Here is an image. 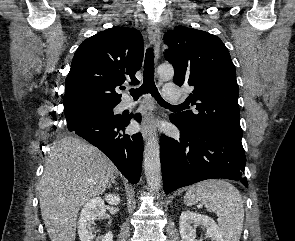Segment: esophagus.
Segmentation results:
<instances>
[{
	"label": "esophagus",
	"instance_id": "34e87169",
	"mask_svg": "<svg viewBox=\"0 0 295 241\" xmlns=\"http://www.w3.org/2000/svg\"><path fill=\"white\" fill-rule=\"evenodd\" d=\"M148 36L150 42L154 45L155 57L158 58L160 49V29L157 24L150 23L147 28ZM153 128V107L147 108L146 114L144 116L141 133L144 140H147L149 134Z\"/></svg>",
	"mask_w": 295,
	"mask_h": 241
}]
</instances>
